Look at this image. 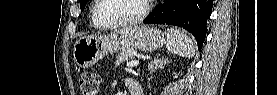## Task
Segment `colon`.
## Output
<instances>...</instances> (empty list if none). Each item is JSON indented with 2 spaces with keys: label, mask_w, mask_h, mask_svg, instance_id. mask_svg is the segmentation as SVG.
Here are the masks:
<instances>
[{
  "label": "colon",
  "mask_w": 277,
  "mask_h": 95,
  "mask_svg": "<svg viewBox=\"0 0 277 95\" xmlns=\"http://www.w3.org/2000/svg\"><path fill=\"white\" fill-rule=\"evenodd\" d=\"M100 78L93 72H83L80 76V90L83 95H98Z\"/></svg>",
  "instance_id": "5ec220e1"
}]
</instances>
